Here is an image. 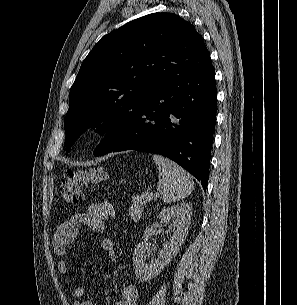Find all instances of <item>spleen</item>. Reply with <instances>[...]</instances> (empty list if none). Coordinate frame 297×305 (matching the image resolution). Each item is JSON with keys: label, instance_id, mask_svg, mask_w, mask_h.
Masks as SVG:
<instances>
[{"label": "spleen", "instance_id": "1", "mask_svg": "<svg viewBox=\"0 0 297 305\" xmlns=\"http://www.w3.org/2000/svg\"><path fill=\"white\" fill-rule=\"evenodd\" d=\"M153 160L159 170L157 190L163 202L171 203L182 200L192 192L193 179L183 168L160 155H154Z\"/></svg>", "mask_w": 297, "mask_h": 305}]
</instances>
